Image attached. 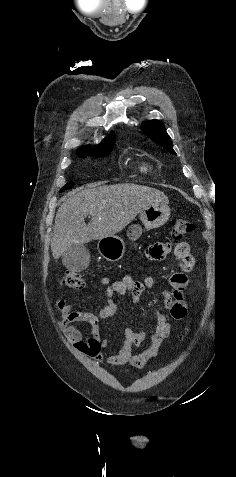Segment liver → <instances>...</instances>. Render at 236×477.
<instances>
[{"label":"liver","instance_id":"6515ba94","mask_svg":"<svg viewBox=\"0 0 236 477\" xmlns=\"http://www.w3.org/2000/svg\"><path fill=\"white\" fill-rule=\"evenodd\" d=\"M167 196L136 184L103 185L72 191L58 208L51 252L58 259L74 244L113 236L153 204H168ZM91 216L88 225L86 216Z\"/></svg>","mask_w":236,"mask_h":477}]
</instances>
